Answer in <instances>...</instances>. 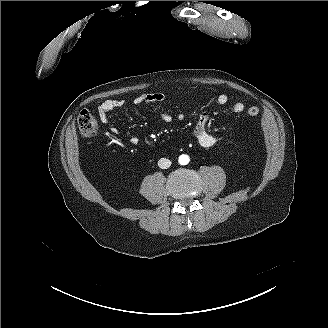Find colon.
<instances>
[{
  "mask_svg": "<svg viewBox=\"0 0 328 328\" xmlns=\"http://www.w3.org/2000/svg\"><path fill=\"white\" fill-rule=\"evenodd\" d=\"M247 114L251 117H255L259 114V108L256 106H251L248 108ZM77 124L80 132L86 137H91L97 132V120L94 115L86 110L79 114Z\"/></svg>",
  "mask_w": 328,
  "mask_h": 328,
  "instance_id": "colon-1",
  "label": "colon"
}]
</instances>
